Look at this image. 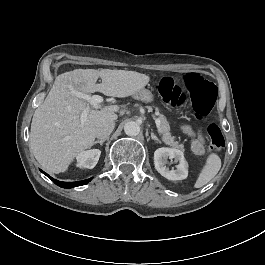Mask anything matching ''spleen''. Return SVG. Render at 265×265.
<instances>
[{
	"label": "spleen",
	"instance_id": "spleen-1",
	"mask_svg": "<svg viewBox=\"0 0 265 265\" xmlns=\"http://www.w3.org/2000/svg\"><path fill=\"white\" fill-rule=\"evenodd\" d=\"M222 166V160L220 156L214 152H210L206 155L204 164L200 173L193 185L194 188H201L205 186L210 180H212L219 172Z\"/></svg>",
	"mask_w": 265,
	"mask_h": 265
}]
</instances>
